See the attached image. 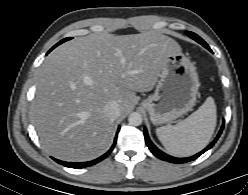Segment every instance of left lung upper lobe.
Masks as SVG:
<instances>
[{
  "mask_svg": "<svg viewBox=\"0 0 248 195\" xmlns=\"http://www.w3.org/2000/svg\"><path fill=\"white\" fill-rule=\"evenodd\" d=\"M186 34L190 38L194 39L195 41H197L198 43H200L201 45H203L205 48H207L208 45L206 44V42L201 37H199L197 34H195L193 32H190V31H187Z\"/></svg>",
  "mask_w": 248,
  "mask_h": 195,
  "instance_id": "1",
  "label": "left lung upper lobe"
}]
</instances>
